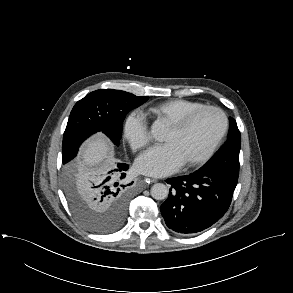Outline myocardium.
<instances>
[{"label": "myocardium", "mask_w": 293, "mask_h": 293, "mask_svg": "<svg viewBox=\"0 0 293 293\" xmlns=\"http://www.w3.org/2000/svg\"><path fill=\"white\" fill-rule=\"evenodd\" d=\"M206 111H213V112L218 113L221 116L222 121H223L222 129H221L220 133L218 134V136L216 137V139L211 144V146L206 150V152L203 153L198 158H196L190 162L184 163L183 166L185 168L198 167V166L204 164L205 162H207L214 155V153L216 152V150L218 149V147L220 146V144L224 140L225 136L227 135V132L229 129V119H228L226 113L221 108L216 107V106L205 105V106H202L196 110L189 112L188 114L184 115L183 117H181L180 119H178L177 121H175L169 125V128L172 129L174 132H182L183 130H185L188 127V125L198 115H200L201 113L206 112Z\"/></svg>", "instance_id": "f54148a6"}]
</instances>
